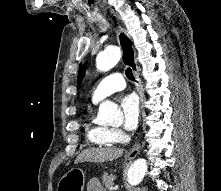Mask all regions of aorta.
<instances>
[{
    "label": "aorta",
    "instance_id": "762f6f07",
    "mask_svg": "<svg viewBox=\"0 0 221 191\" xmlns=\"http://www.w3.org/2000/svg\"><path fill=\"white\" fill-rule=\"evenodd\" d=\"M121 52L117 46H109L100 52L96 57V67L100 71H108L113 68L120 60ZM122 112L119 107L111 102L104 101L99 107V118L107 123L121 119ZM148 169L146 159L139 158L130 166L127 178L130 185H138L144 178Z\"/></svg>",
    "mask_w": 221,
    "mask_h": 191
}]
</instances>
